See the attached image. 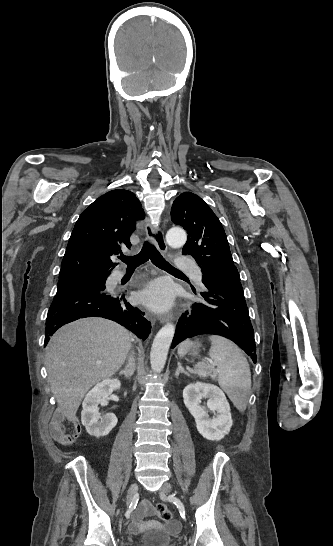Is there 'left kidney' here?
<instances>
[{
  "label": "left kidney",
  "mask_w": 333,
  "mask_h": 546,
  "mask_svg": "<svg viewBox=\"0 0 333 546\" xmlns=\"http://www.w3.org/2000/svg\"><path fill=\"white\" fill-rule=\"evenodd\" d=\"M184 404L195 418L198 432L206 439L219 441L224 438L232 426L230 405L223 391L214 384L196 382L183 390ZM207 399L209 410L216 412L211 418L202 407L201 400Z\"/></svg>",
  "instance_id": "left-kidney-1"
}]
</instances>
